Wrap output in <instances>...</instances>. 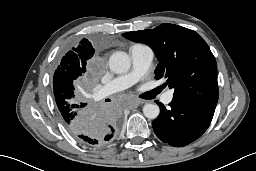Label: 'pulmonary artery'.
Segmentation results:
<instances>
[{
    "label": "pulmonary artery",
    "mask_w": 256,
    "mask_h": 171,
    "mask_svg": "<svg viewBox=\"0 0 256 171\" xmlns=\"http://www.w3.org/2000/svg\"><path fill=\"white\" fill-rule=\"evenodd\" d=\"M129 54L132 61L131 70L108 82L102 90L103 96L131 87L148 72L154 58V52L149 46L135 44L129 49ZM172 97V91H168L164 97V103H170Z\"/></svg>",
    "instance_id": "e3ab8cb5"
}]
</instances>
